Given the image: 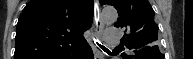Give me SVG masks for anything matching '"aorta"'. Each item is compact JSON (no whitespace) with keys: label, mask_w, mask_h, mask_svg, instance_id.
Segmentation results:
<instances>
[{"label":"aorta","mask_w":193,"mask_h":59,"mask_svg":"<svg viewBox=\"0 0 193 59\" xmlns=\"http://www.w3.org/2000/svg\"><path fill=\"white\" fill-rule=\"evenodd\" d=\"M101 18L106 24H111L117 20L118 13L115 8L106 7L102 11Z\"/></svg>","instance_id":"obj_1"}]
</instances>
